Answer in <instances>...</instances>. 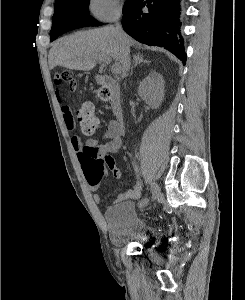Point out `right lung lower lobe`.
I'll return each mask as SVG.
<instances>
[{
  "label": "right lung lower lobe",
  "mask_w": 245,
  "mask_h": 300,
  "mask_svg": "<svg viewBox=\"0 0 245 300\" xmlns=\"http://www.w3.org/2000/svg\"><path fill=\"white\" fill-rule=\"evenodd\" d=\"M180 14V0H135L134 4L123 11L122 26L137 41L164 47L185 64ZM56 27L57 35L60 36L84 26L76 21L60 20Z\"/></svg>",
  "instance_id": "98d812e1"
}]
</instances>
